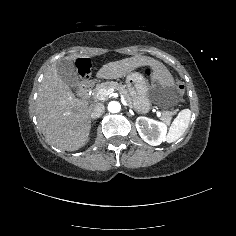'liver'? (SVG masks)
I'll return each instance as SVG.
<instances>
[{
	"label": "liver",
	"mask_w": 236,
	"mask_h": 236,
	"mask_svg": "<svg viewBox=\"0 0 236 236\" xmlns=\"http://www.w3.org/2000/svg\"><path fill=\"white\" fill-rule=\"evenodd\" d=\"M147 63L153 64L157 72L164 68L162 62L149 56H136L105 64L97 77L117 79ZM36 101L37 119L47 141L66 151L77 150L84 144L91 123L88 102L74 96L58 76L55 64L45 73Z\"/></svg>",
	"instance_id": "liver-1"
}]
</instances>
